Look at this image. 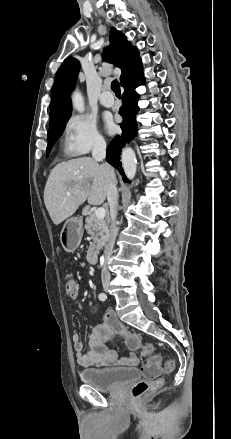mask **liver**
<instances>
[{"label": "liver", "mask_w": 231, "mask_h": 439, "mask_svg": "<svg viewBox=\"0 0 231 439\" xmlns=\"http://www.w3.org/2000/svg\"><path fill=\"white\" fill-rule=\"evenodd\" d=\"M110 172L108 167L90 157L57 164L44 189V203L53 223L59 225L72 216L86 200L91 205L102 204L107 197Z\"/></svg>", "instance_id": "obj_1"}]
</instances>
